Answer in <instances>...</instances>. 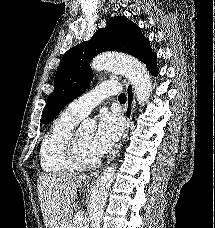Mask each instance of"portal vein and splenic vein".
Listing matches in <instances>:
<instances>
[{
    "mask_svg": "<svg viewBox=\"0 0 215 228\" xmlns=\"http://www.w3.org/2000/svg\"><path fill=\"white\" fill-rule=\"evenodd\" d=\"M74 220L75 222H82V220H84L82 212H78V214H75Z\"/></svg>",
    "mask_w": 215,
    "mask_h": 228,
    "instance_id": "18ae733b",
    "label": "portal vein and splenic vein"
}]
</instances>
